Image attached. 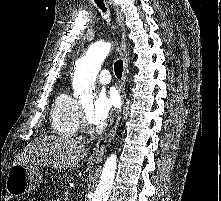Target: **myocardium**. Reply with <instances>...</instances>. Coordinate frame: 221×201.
<instances>
[{"mask_svg": "<svg viewBox=\"0 0 221 201\" xmlns=\"http://www.w3.org/2000/svg\"><path fill=\"white\" fill-rule=\"evenodd\" d=\"M80 127L83 131L87 133H96L100 132L103 129V125L93 124L84 109V107H80Z\"/></svg>", "mask_w": 221, "mask_h": 201, "instance_id": "myocardium-1", "label": "myocardium"}]
</instances>
